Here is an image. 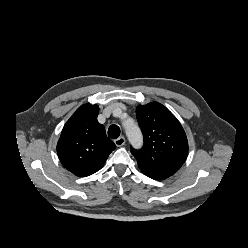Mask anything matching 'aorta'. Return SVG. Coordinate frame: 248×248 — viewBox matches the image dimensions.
<instances>
[{
  "instance_id": "aorta-1",
  "label": "aorta",
  "mask_w": 248,
  "mask_h": 248,
  "mask_svg": "<svg viewBox=\"0 0 248 248\" xmlns=\"http://www.w3.org/2000/svg\"><path fill=\"white\" fill-rule=\"evenodd\" d=\"M125 132L133 147L139 148L143 143L142 133L136 123L131 122L125 125Z\"/></svg>"
}]
</instances>
